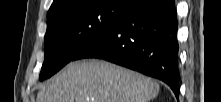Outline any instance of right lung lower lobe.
<instances>
[{
  "instance_id": "1",
  "label": "right lung lower lobe",
  "mask_w": 221,
  "mask_h": 102,
  "mask_svg": "<svg viewBox=\"0 0 221 102\" xmlns=\"http://www.w3.org/2000/svg\"><path fill=\"white\" fill-rule=\"evenodd\" d=\"M178 20L173 0H141L75 58H99L165 82L179 98Z\"/></svg>"
}]
</instances>
